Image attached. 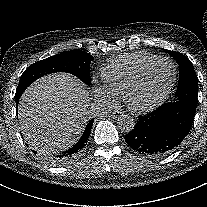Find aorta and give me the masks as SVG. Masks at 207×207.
Listing matches in <instances>:
<instances>
[{"label":"aorta","mask_w":207,"mask_h":207,"mask_svg":"<svg viewBox=\"0 0 207 207\" xmlns=\"http://www.w3.org/2000/svg\"><path fill=\"white\" fill-rule=\"evenodd\" d=\"M117 126L121 131L129 133L135 127V121L133 117L129 115H121L117 119Z\"/></svg>","instance_id":"1"}]
</instances>
